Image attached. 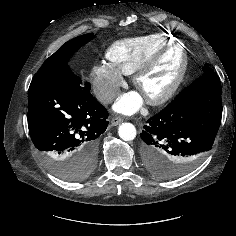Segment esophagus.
<instances>
[{
    "label": "esophagus",
    "mask_w": 236,
    "mask_h": 236,
    "mask_svg": "<svg viewBox=\"0 0 236 236\" xmlns=\"http://www.w3.org/2000/svg\"><path fill=\"white\" fill-rule=\"evenodd\" d=\"M122 121H123V118H121V117H113V118L111 119V125H112V126H117V125H119Z\"/></svg>",
    "instance_id": "34e87169"
}]
</instances>
